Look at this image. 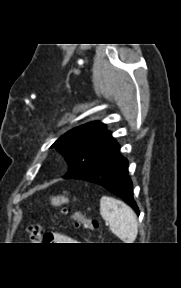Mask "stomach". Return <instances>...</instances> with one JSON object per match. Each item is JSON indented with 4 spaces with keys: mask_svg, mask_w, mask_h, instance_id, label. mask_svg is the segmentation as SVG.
<instances>
[{
    "mask_svg": "<svg viewBox=\"0 0 181 288\" xmlns=\"http://www.w3.org/2000/svg\"><path fill=\"white\" fill-rule=\"evenodd\" d=\"M69 199L67 197H65L64 195H60V196H55L51 198V203L54 206H59L61 204L64 203H68Z\"/></svg>",
    "mask_w": 181,
    "mask_h": 288,
    "instance_id": "obj_1",
    "label": "stomach"
}]
</instances>
